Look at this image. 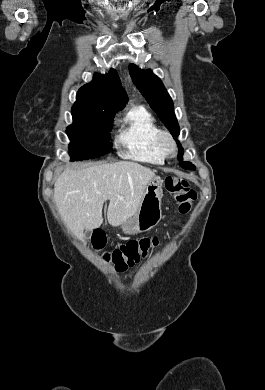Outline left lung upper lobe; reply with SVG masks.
<instances>
[{
  "mask_svg": "<svg viewBox=\"0 0 265 390\" xmlns=\"http://www.w3.org/2000/svg\"><path fill=\"white\" fill-rule=\"evenodd\" d=\"M129 73L135 86L143 94L150 107L160 117L162 123H164L176 139L180 134V129L174 113L173 101L160 78L152 70H142L135 64L129 65ZM176 142L179 148V164L185 169L194 170L195 166L192 163L183 161V148L178 140Z\"/></svg>",
  "mask_w": 265,
  "mask_h": 390,
  "instance_id": "left-lung-upper-lobe-1",
  "label": "left lung upper lobe"
}]
</instances>
